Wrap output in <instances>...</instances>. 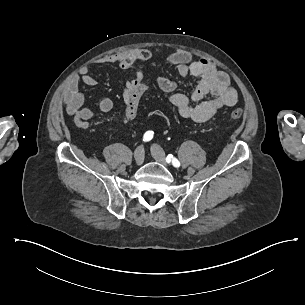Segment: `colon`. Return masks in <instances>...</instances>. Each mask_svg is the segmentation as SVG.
<instances>
[{"mask_svg": "<svg viewBox=\"0 0 305 305\" xmlns=\"http://www.w3.org/2000/svg\"><path fill=\"white\" fill-rule=\"evenodd\" d=\"M145 88L143 85L138 84L135 86L134 90L132 91L131 95L128 96L125 106L127 108L125 112V116L127 119L132 120L136 116L135 108L140 101L144 98ZM243 115L242 109H235L230 113V117L232 119H237Z\"/></svg>", "mask_w": 305, "mask_h": 305, "instance_id": "obj_1", "label": "colon"}]
</instances>
